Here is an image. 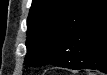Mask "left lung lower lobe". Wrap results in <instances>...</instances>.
<instances>
[{
	"label": "left lung lower lobe",
	"mask_w": 107,
	"mask_h": 75,
	"mask_svg": "<svg viewBox=\"0 0 107 75\" xmlns=\"http://www.w3.org/2000/svg\"><path fill=\"white\" fill-rule=\"evenodd\" d=\"M55 64L107 73V1L97 0L79 22L76 40L54 50Z\"/></svg>",
	"instance_id": "0a47b994"
}]
</instances>
